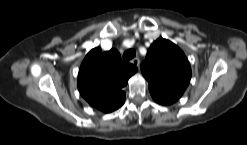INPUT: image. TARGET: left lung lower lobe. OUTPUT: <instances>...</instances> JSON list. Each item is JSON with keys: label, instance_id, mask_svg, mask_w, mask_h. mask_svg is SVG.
I'll use <instances>...</instances> for the list:
<instances>
[{"label": "left lung lower lobe", "instance_id": "left-lung-lower-lobe-1", "mask_svg": "<svg viewBox=\"0 0 247 145\" xmlns=\"http://www.w3.org/2000/svg\"><path fill=\"white\" fill-rule=\"evenodd\" d=\"M150 93H151L152 98L156 102L163 104V105H169L178 100L177 98L173 96H170V95L158 92V91H150Z\"/></svg>", "mask_w": 247, "mask_h": 145}]
</instances>
